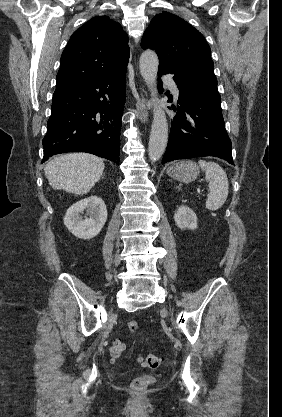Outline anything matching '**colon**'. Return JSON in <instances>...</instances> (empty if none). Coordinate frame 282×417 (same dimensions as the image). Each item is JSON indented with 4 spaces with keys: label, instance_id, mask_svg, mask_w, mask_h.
I'll return each instance as SVG.
<instances>
[{
    "label": "colon",
    "instance_id": "obj_1",
    "mask_svg": "<svg viewBox=\"0 0 282 417\" xmlns=\"http://www.w3.org/2000/svg\"><path fill=\"white\" fill-rule=\"evenodd\" d=\"M127 328L130 332L136 333L139 330V323L137 320H131L127 322ZM125 351V344L121 340H116L109 349L110 356L113 361L121 359ZM162 363V358L157 353L147 354L143 361L142 366L148 369H156ZM154 382V377L151 375L139 376L132 379L131 386L133 393H148L149 386Z\"/></svg>",
    "mask_w": 282,
    "mask_h": 417
}]
</instances>
